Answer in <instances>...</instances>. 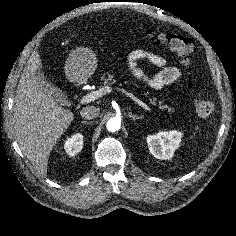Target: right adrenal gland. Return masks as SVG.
<instances>
[{
    "instance_id": "2a0ac1e0",
    "label": "right adrenal gland",
    "mask_w": 236,
    "mask_h": 236,
    "mask_svg": "<svg viewBox=\"0 0 236 236\" xmlns=\"http://www.w3.org/2000/svg\"><path fill=\"white\" fill-rule=\"evenodd\" d=\"M83 125H87V124H90L89 122H87V121H82L81 122Z\"/></svg>"
}]
</instances>
